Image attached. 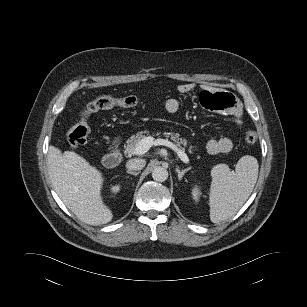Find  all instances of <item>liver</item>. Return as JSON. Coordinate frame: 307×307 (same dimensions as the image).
Segmentation results:
<instances>
[{"mask_svg": "<svg viewBox=\"0 0 307 307\" xmlns=\"http://www.w3.org/2000/svg\"><path fill=\"white\" fill-rule=\"evenodd\" d=\"M47 165L54 190L82 222L101 225L112 220L101 197L103 176L98 169L77 153H62L54 146L49 147Z\"/></svg>", "mask_w": 307, "mask_h": 307, "instance_id": "6515ba94", "label": "liver"}]
</instances>
